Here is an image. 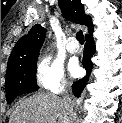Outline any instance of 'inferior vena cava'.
<instances>
[{"label": "inferior vena cava", "instance_id": "602c4592", "mask_svg": "<svg viewBox=\"0 0 122 123\" xmlns=\"http://www.w3.org/2000/svg\"><path fill=\"white\" fill-rule=\"evenodd\" d=\"M62 102H63L66 113L71 114V115L75 114L73 110V104L71 101V97L68 94L62 99Z\"/></svg>", "mask_w": 122, "mask_h": 123}]
</instances>
